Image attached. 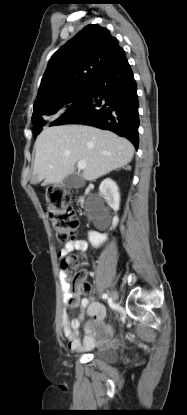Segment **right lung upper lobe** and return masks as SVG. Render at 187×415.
Segmentation results:
<instances>
[{"instance_id":"1","label":"right lung upper lobe","mask_w":187,"mask_h":415,"mask_svg":"<svg viewBox=\"0 0 187 415\" xmlns=\"http://www.w3.org/2000/svg\"><path fill=\"white\" fill-rule=\"evenodd\" d=\"M123 51L106 28L86 26L49 60L34 108L54 103L69 90L91 83Z\"/></svg>"}]
</instances>
